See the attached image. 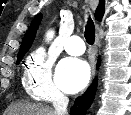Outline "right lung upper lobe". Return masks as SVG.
Segmentation results:
<instances>
[{
	"label": "right lung upper lobe",
	"mask_w": 131,
	"mask_h": 115,
	"mask_svg": "<svg viewBox=\"0 0 131 115\" xmlns=\"http://www.w3.org/2000/svg\"><path fill=\"white\" fill-rule=\"evenodd\" d=\"M104 10H105V1L100 0L99 5L95 11V19L96 20H98V21L102 20V17L104 15ZM41 19H42V14H38V15H36V17L32 21L29 29L27 30V32L23 38V41H22V44H21V47H20V50L18 53V57L20 55L26 53L29 50V48L35 38V35H36V32L39 27Z\"/></svg>",
	"instance_id": "obj_1"
}]
</instances>
